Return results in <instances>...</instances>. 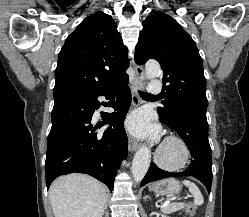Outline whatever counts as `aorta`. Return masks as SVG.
<instances>
[{
  "label": "aorta",
  "mask_w": 249,
  "mask_h": 217,
  "mask_svg": "<svg viewBox=\"0 0 249 217\" xmlns=\"http://www.w3.org/2000/svg\"><path fill=\"white\" fill-rule=\"evenodd\" d=\"M146 78H155L160 72V66L158 62L152 60L146 63ZM151 160V150L147 146L143 145L136 152L132 162L131 172L136 182H140L146 175Z\"/></svg>",
  "instance_id": "aorta-1"
}]
</instances>
